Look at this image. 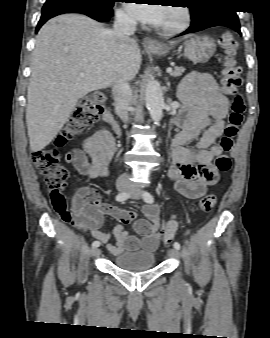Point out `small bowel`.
<instances>
[{
	"instance_id": "small-bowel-1",
	"label": "small bowel",
	"mask_w": 270,
	"mask_h": 338,
	"mask_svg": "<svg viewBox=\"0 0 270 338\" xmlns=\"http://www.w3.org/2000/svg\"><path fill=\"white\" fill-rule=\"evenodd\" d=\"M179 100L186 106L178 119L181 130L172 142L173 164L169 177L175 190L182 196L198 200L207 193V187L217 182V173L212 161L222 152L217 141L224 132V119L229 113V101L223 95L213 78L205 73L192 71L182 81L178 90ZM196 143L197 149L187 147ZM116 151L115 139L107 129H101L83 142V149H73L66 154V161L72 163L79 174L91 179L108 174V165ZM71 213L67 210L66 199L60 201L70 215V222L86 229L113 254L121 251L144 249L153 252L160 236L159 208L146 204L142 208L144 219L136 220L132 211L102 204L98 192L92 186L77 188L70 197ZM110 214L125 224L134 223L136 235H130L123 224L111 234L102 230V214Z\"/></svg>"
}]
</instances>
